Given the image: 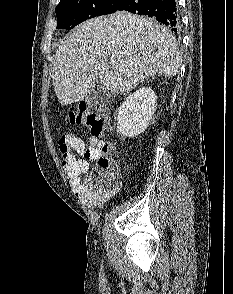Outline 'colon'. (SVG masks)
<instances>
[{"mask_svg":"<svg viewBox=\"0 0 233 294\" xmlns=\"http://www.w3.org/2000/svg\"><path fill=\"white\" fill-rule=\"evenodd\" d=\"M67 121L71 124L85 126L89 129L92 138L96 140L103 135L107 126V119L104 116L88 111L83 105L71 110L67 115ZM69 136L70 134H65L58 139L62 159L67 157L70 150ZM100 141L94 156V168L86 178V183L90 188H107L118 175V166L110 155L109 143Z\"/></svg>","mask_w":233,"mask_h":294,"instance_id":"colon-1","label":"colon"}]
</instances>
